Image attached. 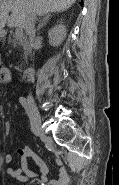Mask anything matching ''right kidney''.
<instances>
[{"label":"right kidney","mask_w":119,"mask_h":185,"mask_svg":"<svg viewBox=\"0 0 119 185\" xmlns=\"http://www.w3.org/2000/svg\"><path fill=\"white\" fill-rule=\"evenodd\" d=\"M66 27L62 24L56 25L48 31L49 42L53 46H58L66 37Z\"/></svg>","instance_id":"obj_1"}]
</instances>
